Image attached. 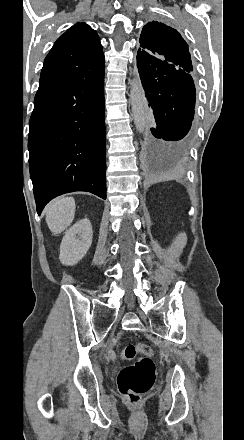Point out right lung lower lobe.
Instances as JSON below:
<instances>
[{
    "mask_svg": "<svg viewBox=\"0 0 244 440\" xmlns=\"http://www.w3.org/2000/svg\"><path fill=\"white\" fill-rule=\"evenodd\" d=\"M28 136L37 212L54 197L106 199L104 63L40 80Z\"/></svg>",
    "mask_w": 244,
    "mask_h": 440,
    "instance_id": "98d812e1",
    "label": "right lung lower lobe"
}]
</instances>
